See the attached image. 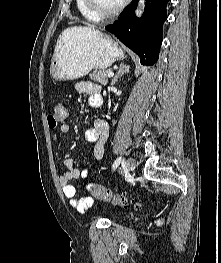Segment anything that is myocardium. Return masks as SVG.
I'll list each match as a JSON object with an SVG mask.
<instances>
[{
    "label": "myocardium",
    "instance_id": "obj_1",
    "mask_svg": "<svg viewBox=\"0 0 221 263\" xmlns=\"http://www.w3.org/2000/svg\"><path fill=\"white\" fill-rule=\"evenodd\" d=\"M87 9L92 12L97 18H111L118 15L128 3V0H122L121 3L113 10H102L95 0H84Z\"/></svg>",
    "mask_w": 221,
    "mask_h": 263
}]
</instances>
